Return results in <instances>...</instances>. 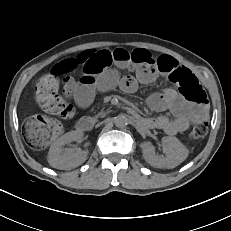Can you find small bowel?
I'll use <instances>...</instances> for the list:
<instances>
[{"instance_id":"obj_1","label":"small bowel","mask_w":231,"mask_h":231,"mask_svg":"<svg viewBox=\"0 0 231 231\" xmlns=\"http://www.w3.org/2000/svg\"><path fill=\"white\" fill-rule=\"evenodd\" d=\"M137 50L140 53L134 59L131 58L132 51L117 48L87 50L61 61L68 72L75 69L82 71L78 81L70 77L67 79V91L73 94L78 105L84 107L91 103L96 91H109L118 86L125 92H134L138 84L151 83L159 75L170 78L178 70L191 73L172 57L162 56L155 59L149 51ZM120 70L134 71V74L121 75ZM148 104L156 111H170L173 118L161 115L156 118H139L140 122L170 135L183 132L191 124L205 120L209 110L206 102L188 99L171 88L152 94L148 98Z\"/></svg>"}]
</instances>
